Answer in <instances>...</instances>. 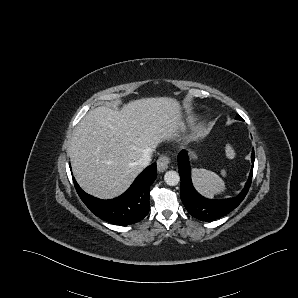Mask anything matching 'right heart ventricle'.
Listing matches in <instances>:
<instances>
[{
  "mask_svg": "<svg viewBox=\"0 0 298 298\" xmlns=\"http://www.w3.org/2000/svg\"><path fill=\"white\" fill-rule=\"evenodd\" d=\"M195 119L196 117L194 114H187L186 116H183L180 118V125L181 126L189 125L193 123Z\"/></svg>",
  "mask_w": 298,
  "mask_h": 298,
  "instance_id": "right-heart-ventricle-1",
  "label": "right heart ventricle"
}]
</instances>
